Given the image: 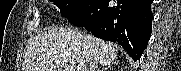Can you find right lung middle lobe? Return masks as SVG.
<instances>
[{
  "label": "right lung middle lobe",
  "instance_id": "dd1d6c3e",
  "mask_svg": "<svg viewBox=\"0 0 181 71\" xmlns=\"http://www.w3.org/2000/svg\"><path fill=\"white\" fill-rule=\"evenodd\" d=\"M59 9L61 16L70 18L85 13L92 8L98 0H50Z\"/></svg>",
  "mask_w": 181,
  "mask_h": 71
}]
</instances>
